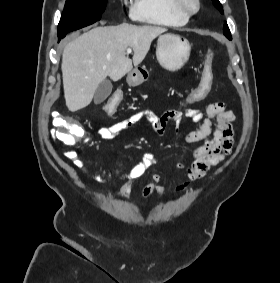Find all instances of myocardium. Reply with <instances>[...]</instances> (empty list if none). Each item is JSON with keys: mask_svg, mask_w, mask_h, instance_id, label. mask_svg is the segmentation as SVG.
<instances>
[{"mask_svg": "<svg viewBox=\"0 0 280 283\" xmlns=\"http://www.w3.org/2000/svg\"><path fill=\"white\" fill-rule=\"evenodd\" d=\"M178 6L189 16L200 10V0H176Z\"/></svg>", "mask_w": 280, "mask_h": 283, "instance_id": "f54148a6", "label": "myocardium"}]
</instances>
